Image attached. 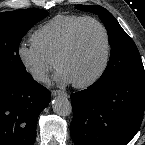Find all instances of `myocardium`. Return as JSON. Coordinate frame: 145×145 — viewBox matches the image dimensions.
Instances as JSON below:
<instances>
[{
    "mask_svg": "<svg viewBox=\"0 0 145 145\" xmlns=\"http://www.w3.org/2000/svg\"><path fill=\"white\" fill-rule=\"evenodd\" d=\"M86 22L94 23L102 30L104 39H105L106 50H105V58L101 67L92 77H90L88 80L83 81V82L72 83V85L75 88H79V89L88 88L94 85L97 81H99L102 78V76L105 74L110 64L111 57H112V44H111V38H110V34L107 27L100 20L91 16H85V17H82L80 20H78L76 24L70 30L65 44L55 60L56 69L59 70V65L62 62V60H64L71 53L75 45V39H76V34L78 32V29L80 28L82 24Z\"/></svg>",
    "mask_w": 145,
    "mask_h": 145,
    "instance_id": "myocardium-1",
    "label": "myocardium"
}]
</instances>
